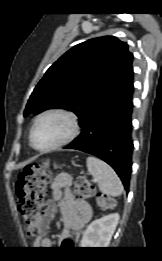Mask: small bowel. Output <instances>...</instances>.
Instances as JSON below:
<instances>
[{
  "label": "small bowel",
  "mask_w": 162,
  "mask_h": 261,
  "mask_svg": "<svg viewBox=\"0 0 162 261\" xmlns=\"http://www.w3.org/2000/svg\"><path fill=\"white\" fill-rule=\"evenodd\" d=\"M72 178L69 174L63 173L56 176L51 184L52 201L60 203L63 229L59 236L60 246L69 242L71 232H80L92 218V210L84 200L74 199L71 195ZM54 206L51 203L45 214L42 223L46 226L53 216ZM34 246L43 249L53 247L51 238L45 234L38 237Z\"/></svg>",
  "instance_id": "c3829d8e"
}]
</instances>
